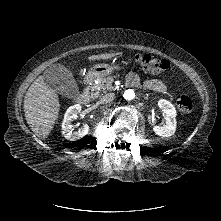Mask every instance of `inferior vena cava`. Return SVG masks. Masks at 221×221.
Listing matches in <instances>:
<instances>
[{
    "instance_id": "1",
    "label": "inferior vena cava",
    "mask_w": 221,
    "mask_h": 221,
    "mask_svg": "<svg viewBox=\"0 0 221 221\" xmlns=\"http://www.w3.org/2000/svg\"><path fill=\"white\" fill-rule=\"evenodd\" d=\"M114 97L115 95L113 93H108L101 98L100 102L101 103L111 102L114 99Z\"/></svg>"
}]
</instances>
